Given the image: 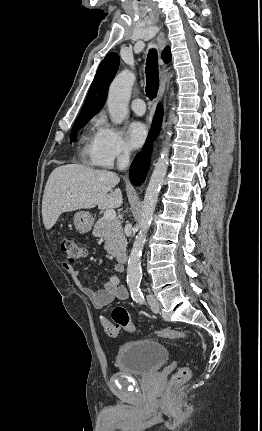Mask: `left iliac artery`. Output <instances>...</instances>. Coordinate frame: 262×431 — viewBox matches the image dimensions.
<instances>
[{
    "instance_id": "left-iliac-artery-1",
    "label": "left iliac artery",
    "mask_w": 262,
    "mask_h": 431,
    "mask_svg": "<svg viewBox=\"0 0 262 431\" xmlns=\"http://www.w3.org/2000/svg\"><path fill=\"white\" fill-rule=\"evenodd\" d=\"M129 288H130V292H131V296L133 298V300L139 304H143L144 303V296L143 293L140 289V282H130L129 283Z\"/></svg>"
}]
</instances>
